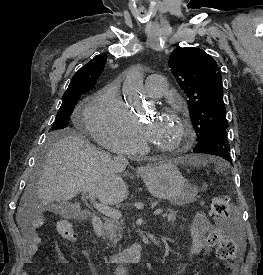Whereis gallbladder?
<instances>
[{
	"instance_id": "obj_1",
	"label": "gallbladder",
	"mask_w": 263,
	"mask_h": 275,
	"mask_svg": "<svg viewBox=\"0 0 263 275\" xmlns=\"http://www.w3.org/2000/svg\"><path fill=\"white\" fill-rule=\"evenodd\" d=\"M51 212L56 215L71 219L78 216V208L66 201H53L48 205Z\"/></svg>"
}]
</instances>
